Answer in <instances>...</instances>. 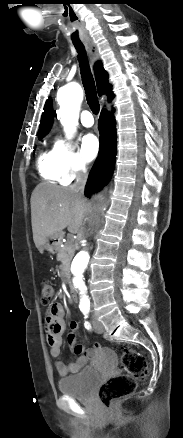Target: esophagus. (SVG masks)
Masks as SVG:
<instances>
[{
	"mask_svg": "<svg viewBox=\"0 0 183 438\" xmlns=\"http://www.w3.org/2000/svg\"><path fill=\"white\" fill-rule=\"evenodd\" d=\"M85 46L87 48L91 66L99 59V53L98 50L93 42H86Z\"/></svg>",
	"mask_w": 183,
	"mask_h": 438,
	"instance_id": "obj_1",
	"label": "esophagus"
}]
</instances>
